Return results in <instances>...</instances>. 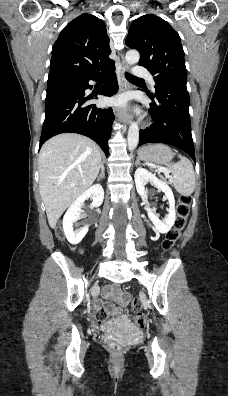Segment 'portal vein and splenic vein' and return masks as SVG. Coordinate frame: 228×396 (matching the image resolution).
Segmentation results:
<instances>
[{
    "mask_svg": "<svg viewBox=\"0 0 228 396\" xmlns=\"http://www.w3.org/2000/svg\"><path fill=\"white\" fill-rule=\"evenodd\" d=\"M159 171L160 172H166V170L164 168H161V167L159 168Z\"/></svg>",
    "mask_w": 228,
    "mask_h": 396,
    "instance_id": "portal-vein-and-splenic-vein-1",
    "label": "portal vein and splenic vein"
}]
</instances>
